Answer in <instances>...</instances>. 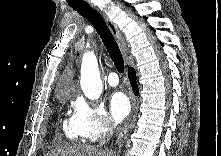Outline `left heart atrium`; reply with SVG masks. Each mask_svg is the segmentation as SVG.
<instances>
[{
  "label": "left heart atrium",
  "mask_w": 221,
  "mask_h": 156,
  "mask_svg": "<svg viewBox=\"0 0 221 156\" xmlns=\"http://www.w3.org/2000/svg\"><path fill=\"white\" fill-rule=\"evenodd\" d=\"M110 112L116 122L124 120L131 109V104L127 96L122 92H115L109 101Z\"/></svg>",
  "instance_id": "1"
}]
</instances>
